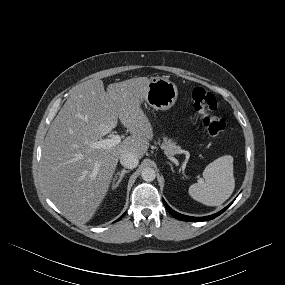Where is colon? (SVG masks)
I'll use <instances>...</instances> for the list:
<instances>
[{"instance_id":"colon-1","label":"colon","mask_w":285,"mask_h":285,"mask_svg":"<svg viewBox=\"0 0 285 285\" xmlns=\"http://www.w3.org/2000/svg\"><path fill=\"white\" fill-rule=\"evenodd\" d=\"M192 102L195 111L199 114L202 124L210 137H217L221 134L226 125L216 114V97L202 87L192 91Z\"/></svg>"}]
</instances>
